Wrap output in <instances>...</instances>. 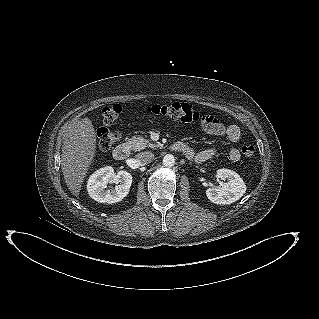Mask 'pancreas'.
I'll return each instance as SVG.
<instances>
[{
    "label": "pancreas",
    "mask_w": 319,
    "mask_h": 319,
    "mask_svg": "<svg viewBox=\"0 0 319 319\" xmlns=\"http://www.w3.org/2000/svg\"><path fill=\"white\" fill-rule=\"evenodd\" d=\"M127 143L134 151H140L147 147L154 148L157 146L155 144L150 143L149 140L147 139H144L142 137H135V136L130 138Z\"/></svg>",
    "instance_id": "pancreas-1"
}]
</instances>
